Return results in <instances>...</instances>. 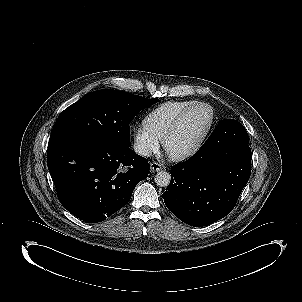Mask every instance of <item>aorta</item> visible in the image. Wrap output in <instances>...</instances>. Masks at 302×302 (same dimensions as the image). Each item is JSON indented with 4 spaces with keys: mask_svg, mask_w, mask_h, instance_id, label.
<instances>
[{
    "mask_svg": "<svg viewBox=\"0 0 302 302\" xmlns=\"http://www.w3.org/2000/svg\"><path fill=\"white\" fill-rule=\"evenodd\" d=\"M171 175L166 171H159L154 177V182L159 187H167L170 184Z\"/></svg>",
    "mask_w": 302,
    "mask_h": 302,
    "instance_id": "1",
    "label": "aorta"
}]
</instances>
